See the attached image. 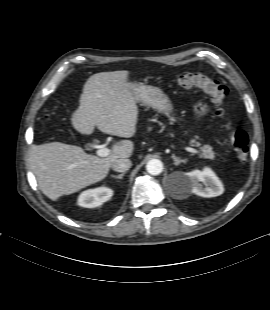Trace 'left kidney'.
<instances>
[{
	"label": "left kidney",
	"instance_id": "obj_1",
	"mask_svg": "<svg viewBox=\"0 0 270 310\" xmlns=\"http://www.w3.org/2000/svg\"><path fill=\"white\" fill-rule=\"evenodd\" d=\"M224 192L222 182L210 168L194 170L183 174L179 194L187 196L194 193L201 197H216Z\"/></svg>",
	"mask_w": 270,
	"mask_h": 310
}]
</instances>
